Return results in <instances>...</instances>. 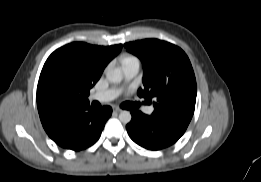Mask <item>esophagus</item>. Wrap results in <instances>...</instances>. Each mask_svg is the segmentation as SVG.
<instances>
[{"instance_id": "34e87169", "label": "esophagus", "mask_w": 261, "mask_h": 182, "mask_svg": "<svg viewBox=\"0 0 261 182\" xmlns=\"http://www.w3.org/2000/svg\"><path fill=\"white\" fill-rule=\"evenodd\" d=\"M113 111L116 112V113H119V112L122 111V109H121V108H118V107H114V108H113Z\"/></svg>"}]
</instances>
